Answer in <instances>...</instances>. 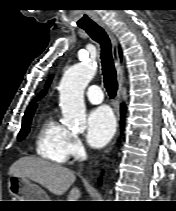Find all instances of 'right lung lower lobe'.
Wrapping results in <instances>:
<instances>
[{
  "label": "right lung lower lobe",
  "mask_w": 176,
  "mask_h": 211,
  "mask_svg": "<svg viewBox=\"0 0 176 211\" xmlns=\"http://www.w3.org/2000/svg\"><path fill=\"white\" fill-rule=\"evenodd\" d=\"M121 111H122V119L124 118V106H121ZM101 183V181H99Z\"/></svg>",
  "instance_id": "98d812e1"
}]
</instances>
